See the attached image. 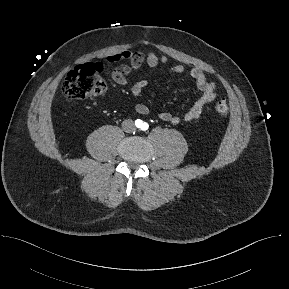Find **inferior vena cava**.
<instances>
[{
	"label": "inferior vena cava",
	"instance_id": "1",
	"mask_svg": "<svg viewBox=\"0 0 289 289\" xmlns=\"http://www.w3.org/2000/svg\"><path fill=\"white\" fill-rule=\"evenodd\" d=\"M122 129L127 132H133L135 130L134 122L131 119L124 120L122 122Z\"/></svg>",
	"mask_w": 289,
	"mask_h": 289
}]
</instances>
